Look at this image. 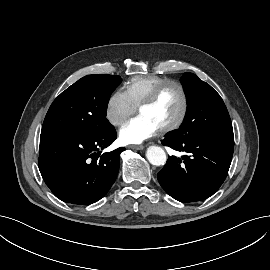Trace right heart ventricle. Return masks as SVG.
I'll return each mask as SVG.
<instances>
[{
	"label": "right heart ventricle",
	"instance_id": "right-heart-ventricle-1",
	"mask_svg": "<svg viewBox=\"0 0 270 270\" xmlns=\"http://www.w3.org/2000/svg\"><path fill=\"white\" fill-rule=\"evenodd\" d=\"M169 80L158 75L135 76L125 83V92L136 107L146 99L160 83Z\"/></svg>",
	"mask_w": 270,
	"mask_h": 270
}]
</instances>
